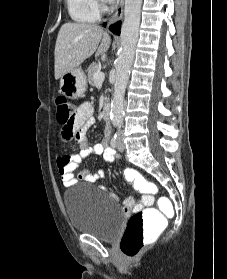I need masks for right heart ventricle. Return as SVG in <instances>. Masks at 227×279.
Wrapping results in <instances>:
<instances>
[{
  "mask_svg": "<svg viewBox=\"0 0 227 279\" xmlns=\"http://www.w3.org/2000/svg\"><path fill=\"white\" fill-rule=\"evenodd\" d=\"M70 17L80 23L95 22L98 19V10L93 0H66Z\"/></svg>",
  "mask_w": 227,
  "mask_h": 279,
  "instance_id": "right-heart-ventricle-1",
  "label": "right heart ventricle"
}]
</instances>
